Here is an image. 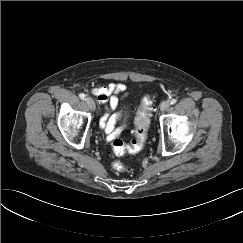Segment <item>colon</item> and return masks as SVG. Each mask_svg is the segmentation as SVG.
I'll use <instances>...</instances> for the list:
<instances>
[{
	"label": "colon",
	"mask_w": 243,
	"mask_h": 243,
	"mask_svg": "<svg viewBox=\"0 0 243 243\" xmlns=\"http://www.w3.org/2000/svg\"><path fill=\"white\" fill-rule=\"evenodd\" d=\"M152 109L150 97L145 96L136 113L134 139L129 144H126L119 138L112 143V150L116 156H122L125 153H137L143 148L147 138ZM112 167L118 172L125 170V166L120 161H114Z\"/></svg>",
	"instance_id": "colon-1"
}]
</instances>
